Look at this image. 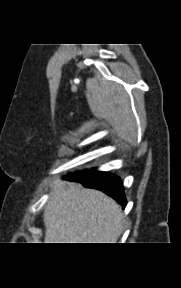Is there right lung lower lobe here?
Segmentation results:
<instances>
[{
  "label": "right lung lower lobe",
  "instance_id": "98d812e1",
  "mask_svg": "<svg viewBox=\"0 0 181 288\" xmlns=\"http://www.w3.org/2000/svg\"><path fill=\"white\" fill-rule=\"evenodd\" d=\"M67 179L82 183L85 187L105 192L116 200L122 208H125L127 201L124 188L120 178L108 172H99L95 169L84 170L70 174Z\"/></svg>",
  "mask_w": 181,
  "mask_h": 288
}]
</instances>
